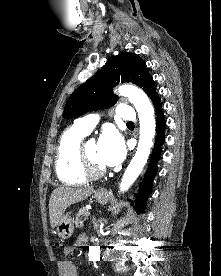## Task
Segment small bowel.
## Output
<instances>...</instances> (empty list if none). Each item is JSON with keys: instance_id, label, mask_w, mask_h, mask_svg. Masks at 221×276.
<instances>
[{"instance_id": "1", "label": "small bowel", "mask_w": 221, "mask_h": 276, "mask_svg": "<svg viewBox=\"0 0 221 276\" xmlns=\"http://www.w3.org/2000/svg\"><path fill=\"white\" fill-rule=\"evenodd\" d=\"M87 242V238L85 236H81L76 246H83ZM73 250L72 247L65 248V253L69 254ZM63 270H64V276H78V269L77 266L69 259L65 260L63 262Z\"/></svg>"}]
</instances>
